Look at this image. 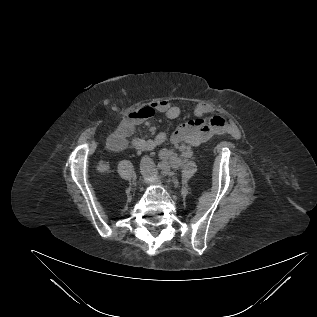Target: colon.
<instances>
[{
  "mask_svg": "<svg viewBox=\"0 0 317 317\" xmlns=\"http://www.w3.org/2000/svg\"><path fill=\"white\" fill-rule=\"evenodd\" d=\"M156 113V108L153 106H148V107H143L139 109L138 111L134 112L131 114V118L133 120H141V119H146L154 116Z\"/></svg>",
  "mask_w": 317,
  "mask_h": 317,
  "instance_id": "obj_1",
  "label": "colon"
}]
</instances>
